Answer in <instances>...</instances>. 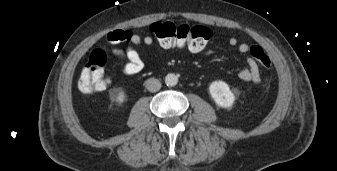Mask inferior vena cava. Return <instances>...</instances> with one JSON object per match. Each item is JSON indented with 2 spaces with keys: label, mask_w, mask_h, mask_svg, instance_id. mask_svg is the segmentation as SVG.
Instances as JSON below:
<instances>
[{
  "label": "inferior vena cava",
  "mask_w": 337,
  "mask_h": 171,
  "mask_svg": "<svg viewBox=\"0 0 337 171\" xmlns=\"http://www.w3.org/2000/svg\"><path fill=\"white\" fill-rule=\"evenodd\" d=\"M146 88L150 92H157L161 88V82L158 79L150 78L146 81Z\"/></svg>",
  "instance_id": "1"
}]
</instances>
